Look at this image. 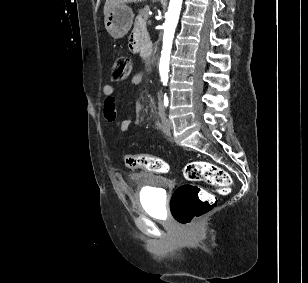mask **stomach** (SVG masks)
<instances>
[{
  "label": "stomach",
  "instance_id": "1",
  "mask_svg": "<svg viewBox=\"0 0 308 283\" xmlns=\"http://www.w3.org/2000/svg\"><path fill=\"white\" fill-rule=\"evenodd\" d=\"M133 11L125 4L113 7L104 18L105 28L114 39L123 38L131 29Z\"/></svg>",
  "mask_w": 308,
  "mask_h": 283
}]
</instances>
